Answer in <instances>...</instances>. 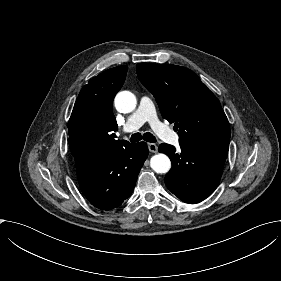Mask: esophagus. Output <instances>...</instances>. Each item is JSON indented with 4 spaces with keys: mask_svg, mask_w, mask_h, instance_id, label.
<instances>
[{
    "mask_svg": "<svg viewBox=\"0 0 281 281\" xmlns=\"http://www.w3.org/2000/svg\"><path fill=\"white\" fill-rule=\"evenodd\" d=\"M148 149L152 153H156L158 151V147L155 143H148Z\"/></svg>",
    "mask_w": 281,
    "mask_h": 281,
    "instance_id": "1",
    "label": "esophagus"
}]
</instances>
